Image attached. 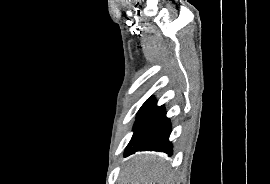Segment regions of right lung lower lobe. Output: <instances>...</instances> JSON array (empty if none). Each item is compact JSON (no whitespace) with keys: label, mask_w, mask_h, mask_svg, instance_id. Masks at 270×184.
<instances>
[{"label":"right lung lower lobe","mask_w":270,"mask_h":184,"mask_svg":"<svg viewBox=\"0 0 270 184\" xmlns=\"http://www.w3.org/2000/svg\"><path fill=\"white\" fill-rule=\"evenodd\" d=\"M171 124L163 106L157 107L154 98L148 100L134 125V134L124 156L137 151H160L172 155L169 142Z\"/></svg>","instance_id":"right-lung-lower-lobe-1"}]
</instances>
